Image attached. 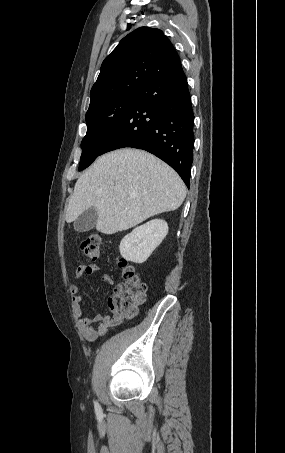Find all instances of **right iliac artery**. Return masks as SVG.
Returning a JSON list of instances; mask_svg holds the SVG:
<instances>
[{
	"mask_svg": "<svg viewBox=\"0 0 285 453\" xmlns=\"http://www.w3.org/2000/svg\"><path fill=\"white\" fill-rule=\"evenodd\" d=\"M94 405H95L96 412L99 413L101 411V409H100V406H99L98 402L95 401Z\"/></svg>",
	"mask_w": 285,
	"mask_h": 453,
	"instance_id": "1",
	"label": "right iliac artery"
}]
</instances>
